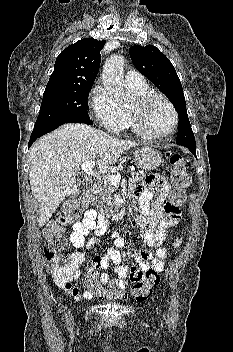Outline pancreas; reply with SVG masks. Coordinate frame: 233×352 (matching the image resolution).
<instances>
[{"label":"pancreas","instance_id":"pancreas-1","mask_svg":"<svg viewBox=\"0 0 233 352\" xmlns=\"http://www.w3.org/2000/svg\"><path fill=\"white\" fill-rule=\"evenodd\" d=\"M145 178V174L142 171L132 172L131 180L133 182L142 181ZM115 192V187L111 184V182H105L103 187L97 193L96 197V206L102 212H111L113 207L115 206V196L113 193Z\"/></svg>","mask_w":233,"mask_h":352}]
</instances>
